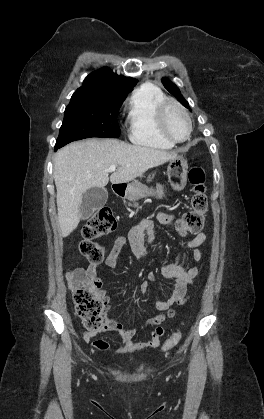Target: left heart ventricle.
<instances>
[{"instance_id":"b2bd125f","label":"left heart ventricle","mask_w":264,"mask_h":419,"mask_svg":"<svg viewBox=\"0 0 264 419\" xmlns=\"http://www.w3.org/2000/svg\"><path fill=\"white\" fill-rule=\"evenodd\" d=\"M166 128L176 139H184L188 134V124L183 114L176 108H169L166 114Z\"/></svg>"}]
</instances>
